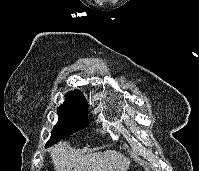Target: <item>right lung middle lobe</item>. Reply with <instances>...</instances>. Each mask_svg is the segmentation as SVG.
Returning <instances> with one entry per match:
<instances>
[{
	"mask_svg": "<svg viewBox=\"0 0 199 171\" xmlns=\"http://www.w3.org/2000/svg\"><path fill=\"white\" fill-rule=\"evenodd\" d=\"M58 123L51 131V138L46 147L60 139L85 128L88 124V104L75 105L63 103L57 108Z\"/></svg>",
	"mask_w": 199,
	"mask_h": 171,
	"instance_id": "obj_1",
	"label": "right lung middle lobe"
}]
</instances>
